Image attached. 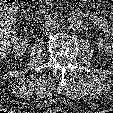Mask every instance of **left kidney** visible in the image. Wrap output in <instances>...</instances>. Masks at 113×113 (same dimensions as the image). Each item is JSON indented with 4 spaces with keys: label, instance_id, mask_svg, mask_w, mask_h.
Instances as JSON below:
<instances>
[{
    "label": "left kidney",
    "instance_id": "1",
    "mask_svg": "<svg viewBox=\"0 0 113 113\" xmlns=\"http://www.w3.org/2000/svg\"><path fill=\"white\" fill-rule=\"evenodd\" d=\"M97 41V44L101 49H104L106 52L111 50V43H109L108 39L98 38Z\"/></svg>",
    "mask_w": 113,
    "mask_h": 113
}]
</instances>
